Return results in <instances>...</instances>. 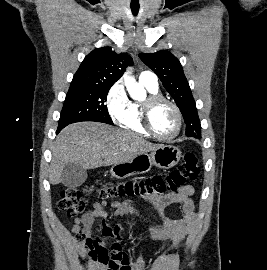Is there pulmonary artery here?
<instances>
[{"mask_svg":"<svg viewBox=\"0 0 267 270\" xmlns=\"http://www.w3.org/2000/svg\"><path fill=\"white\" fill-rule=\"evenodd\" d=\"M140 82L148 83L150 85L158 86V78L155 73L151 71H143L139 75Z\"/></svg>","mask_w":267,"mask_h":270,"instance_id":"e3ab8cb5","label":"pulmonary artery"}]
</instances>
